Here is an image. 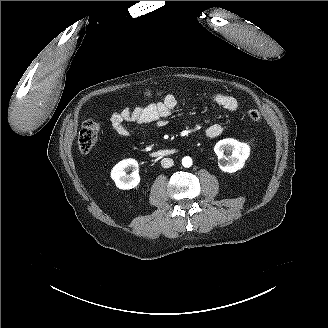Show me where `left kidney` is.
<instances>
[{"mask_svg": "<svg viewBox=\"0 0 328 328\" xmlns=\"http://www.w3.org/2000/svg\"><path fill=\"white\" fill-rule=\"evenodd\" d=\"M224 149L231 151L229 160L224 156ZM218 156V167L222 172L235 173L245 167V163L250 156V145L239 142L233 138L220 140L214 147Z\"/></svg>", "mask_w": 328, "mask_h": 328, "instance_id": "5707ae66", "label": "left kidney"}]
</instances>
